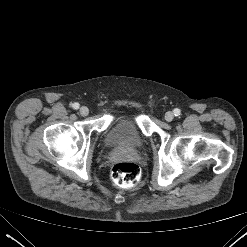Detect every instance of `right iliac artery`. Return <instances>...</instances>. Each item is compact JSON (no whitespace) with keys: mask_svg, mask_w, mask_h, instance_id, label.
<instances>
[{"mask_svg":"<svg viewBox=\"0 0 247 247\" xmlns=\"http://www.w3.org/2000/svg\"><path fill=\"white\" fill-rule=\"evenodd\" d=\"M79 106H80V105H79L78 103L72 104V107H73L74 109H76V110L79 109Z\"/></svg>","mask_w":247,"mask_h":247,"instance_id":"82829eb1","label":"right iliac artery"}]
</instances>
